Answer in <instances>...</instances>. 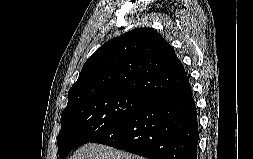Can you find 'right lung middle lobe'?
<instances>
[{"instance_id":"1","label":"right lung middle lobe","mask_w":253,"mask_h":159,"mask_svg":"<svg viewBox=\"0 0 253 159\" xmlns=\"http://www.w3.org/2000/svg\"><path fill=\"white\" fill-rule=\"evenodd\" d=\"M147 102L131 93L96 94L69 102L61 115L59 156L64 158L73 148L116 128Z\"/></svg>"}]
</instances>
